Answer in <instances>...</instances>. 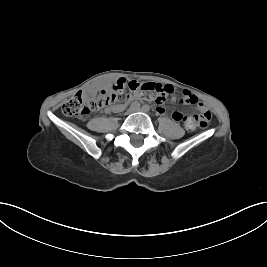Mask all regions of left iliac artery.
I'll return each instance as SVG.
<instances>
[{
	"label": "left iliac artery",
	"instance_id": "1",
	"mask_svg": "<svg viewBox=\"0 0 267 267\" xmlns=\"http://www.w3.org/2000/svg\"><path fill=\"white\" fill-rule=\"evenodd\" d=\"M142 108H144V109L147 110V111L150 110V106H149V105H144Z\"/></svg>",
	"mask_w": 267,
	"mask_h": 267
}]
</instances>
